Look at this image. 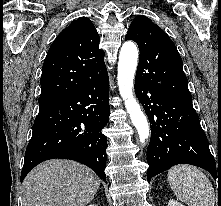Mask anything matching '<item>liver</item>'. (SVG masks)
<instances>
[{
	"label": "liver",
	"instance_id": "6515ba94",
	"mask_svg": "<svg viewBox=\"0 0 221 206\" xmlns=\"http://www.w3.org/2000/svg\"><path fill=\"white\" fill-rule=\"evenodd\" d=\"M24 187V206H85L94 198L100 179L80 163L50 160L27 175Z\"/></svg>",
	"mask_w": 221,
	"mask_h": 206
}]
</instances>
